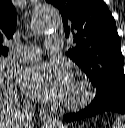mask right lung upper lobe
<instances>
[{"label":"right lung upper lobe","instance_id":"right-lung-upper-lobe-1","mask_svg":"<svg viewBox=\"0 0 125 128\" xmlns=\"http://www.w3.org/2000/svg\"><path fill=\"white\" fill-rule=\"evenodd\" d=\"M17 14L10 0H0V56L8 49L2 45L5 38H12L16 29Z\"/></svg>","mask_w":125,"mask_h":128}]
</instances>
